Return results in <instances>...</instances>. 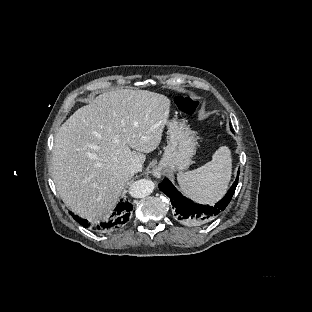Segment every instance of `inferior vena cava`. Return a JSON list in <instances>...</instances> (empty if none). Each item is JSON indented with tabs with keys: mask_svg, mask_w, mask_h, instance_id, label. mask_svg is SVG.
I'll return each instance as SVG.
<instances>
[{
	"mask_svg": "<svg viewBox=\"0 0 312 312\" xmlns=\"http://www.w3.org/2000/svg\"><path fill=\"white\" fill-rule=\"evenodd\" d=\"M142 162L135 161L133 162L129 167V172L131 175H134L137 172H140L142 170Z\"/></svg>",
	"mask_w": 312,
	"mask_h": 312,
	"instance_id": "inferior-vena-cava-1",
	"label": "inferior vena cava"
}]
</instances>
